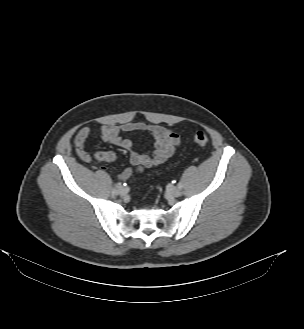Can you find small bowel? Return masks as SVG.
I'll list each match as a JSON object with an SVG mask.
<instances>
[{"mask_svg": "<svg viewBox=\"0 0 304 329\" xmlns=\"http://www.w3.org/2000/svg\"><path fill=\"white\" fill-rule=\"evenodd\" d=\"M131 132H148L155 140V150L152 153H139L133 142L123 134ZM91 134V128L82 127L74 139L77 154L86 162L98 165L102 162H113L116 154L112 151H97L91 156L85 149L86 140ZM99 136L106 142L121 147L129 154L130 163L134 168H126L120 174L121 179H128L134 172L157 166L169 159L180 144V138L173 130L157 124L146 122H127L122 125H105L99 130Z\"/></svg>", "mask_w": 304, "mask_h": 329, "instance_id": "obj_1", "label": "small bowel"}]
</instances>
